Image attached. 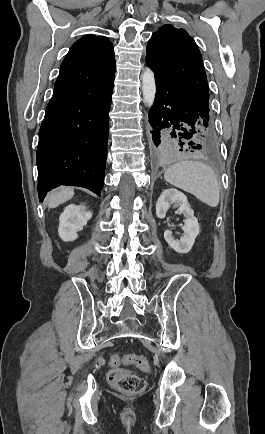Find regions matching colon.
Segmentation results:
<instances>
[{"mask_svg": "<svg viewBox=\"0 0 265 434\" xmlns=\"http://www.w3.org/2000/svg\"><path fill=\"white\" fill-rule=\"evenodd\" d=\"M120 364L134 365L144 372L150 371V364L147 359L137 355L129 354L124 356H113L109 360L110 370L106 374V379L110 386L116 390L130 393H140L146 387L145 380L123 368Z\"/></svg>", "mask_w": 265, "mask_h": 434, "instance_id": "5ec220e1", "label": "colon"}]
</instances>
